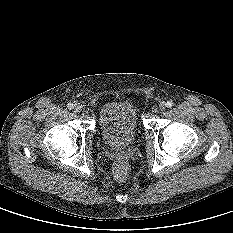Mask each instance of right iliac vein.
<instances>
[{
    "mask_svg": "<svg viewBox=\"0 0 233 233\" xmlns=\"http://www.w3.org/2000/svg\"><path fill=\"white\" fill-rule=\"evenodd\" d=\"M73 109H74V112L80 113V112L82 111V106H80V105H75Z\"/></svg>",
    "mask_w": 233,
    "mask_h": 233,
    "instance_id": "63e3f726",
    "label": "right iliac vein"
}]
</instances>
